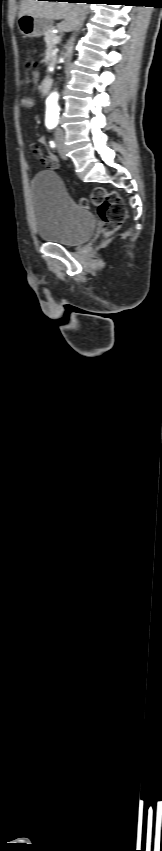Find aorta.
Wrapping results in <instances>:
<instances>
[{"instance_id": "aorta-1", "label": "aorta", "mask_w": 162, "mask_h": 851, "mask_svg": "<svg viewBox=\"0 0 162 851\" xmlns=\"http://www.w3.org/2000/svg\"><path fill=\"white\" fill-rule=\"evenodd\" d=\"M59 95L56 91L52 92L47 98L46 121H56L59 113L58 106Z\"/></svg>"}]
</instances>
